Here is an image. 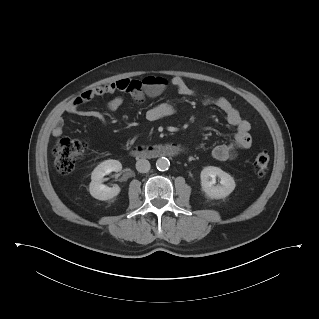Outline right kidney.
<instances>
[{"mask_svg": "<svg viewBox=\"0 0 319 319\" xmlns=\"http://www.w3.org/2000/svg\"><path fill=\"white\" fill-rule=\"evenodd\" d=\"M122 170V164L118 160H105L100 163L91 174V183L89 185L90 194L99 200H109L120 193V187L115 185L113 187L105 186L103 177L112 171L119 172Z\"/></svg>", "mask_w": 319, "mask_h": 319, "instance_id": "obj_1", "label": "right kidney"}]
</instances>
